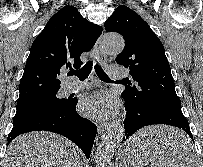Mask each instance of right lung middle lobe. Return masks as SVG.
<instances>
[{
    "label": "right lung middle lobe",
    "instance_id": "obj_1",
    "mask_svg": "<svg viewBox=\"0 0 203 167\" xmlns=\"http://www.w3.org/2000/svg\"><path fill=\"white\" fill-rule=\"evenodd\" d=\"M56 94L57 92L50 93L25 104L17 105V111L13 118V126L30 118L62 110L67 107L70 99H59Z\"/></svg>",
    "mask_w": 203,
    "mask_h": 167
}]
</instances>
